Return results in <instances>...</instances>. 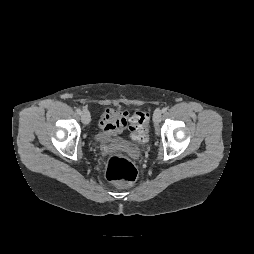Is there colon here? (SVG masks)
Instances as JSON below:
<instances>
[{"instance_id":"obj_1","label":"colon","mask_w":254,"mask_h":254,"mask_svg":"<svg viewBox=\"0 0 254 254\" xmlns=\"http://www.w3.org/2000/svg\"><path fill=\"white\" fill-rule=\"evenodd\" d=\"M149 115L145 111L135 112L130 120V131L133 140L144 143L148 139ZM138 176L136 166L119 154L110 155L105 164V177L107 180L122 185L133 184Z\"/></svg>"}]
</instances>
